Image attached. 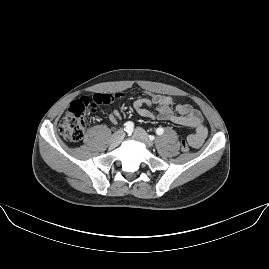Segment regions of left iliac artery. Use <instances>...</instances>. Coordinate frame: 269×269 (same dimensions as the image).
Returning <instances> with one entry per match:
<instances>
[{
  "label": "left iliac artery",
  "mask_w": 269,
  "mask_h": 269,
  "mask_svg": "<svg viewBox=\"0 0 269 269\" xmlns=\"http://www.w3.org/2000/svg\"><path fill=\"white\" fill-rule=\"evenodd\" d=\"M156 133L158 135H162L164 133V129L162 127L157 128ZM153 140V139H152Z\"/></svg>",
  "instance_id": "44dca946"
}]
</instances>
